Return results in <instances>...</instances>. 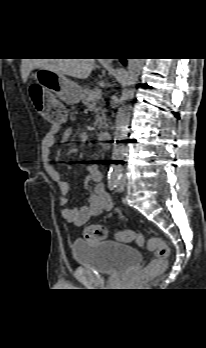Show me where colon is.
Segmentation results:
<instances>
[{
  "label": "colon",
  "mask_w": 206,
  "mask_h": 348,
  "mask_svg": "<svg viewBox=\"0 0 206 348\" xmlns=\"http://www.w3.org/2000/svg\"><path fill=\"white\" fill-rule=\"evenodd\" d=\"M30 96L35 108L53 125H62L66 121V112L61 103L51 94L39 86L30 87ZM107 235L106 228L102 225H89L84 229V238L88 241H100L105 239ZM117 239L121 241L136 240L138 244L144 243V238L135 234L131 230H122L116 234ZM147 248L154 252L155 258L140 271V276H153L163 272L166 269L167 261L170 255L168 244L159 237H151L147 240Z\"/></svg>",
  "instance_id": "5ec220e1"
}]
</instances>
